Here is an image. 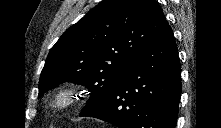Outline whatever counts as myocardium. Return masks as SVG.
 Masks as SVG:
<instances>
[{"label": "myocardium", "mask_w": 221, "mask_h": 128, "mask_svg": "<svg viewBox=\"0 0 221 128\" xmlns=\"http://www.w3.org/2000/svg\"><path fill=\"white\" fill-rule=\"evenodd\" d=\"M76 91L72 87H62L54 97L53 108L58 111L71 107L76 100Z\"/></svg>", "instance_id": "1"}]
</instances>
